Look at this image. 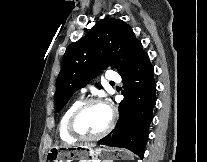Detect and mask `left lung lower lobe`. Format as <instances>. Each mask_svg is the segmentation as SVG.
<instances>
[{
  "mask_svg": "<svg viewBox=\"0 0 207 162\" xmlns=\"http://www.w3.org/2000/svg\"><path fill=\"white\" fill-rule=\"evenodd\" d=\"M120 75L126 82L123 94L128 97L118 107L119 120L115 129L98 143L126 148L143 157L156 103L154 68L148 54L143 52Z\"/></svg>",
  "mask_w": 207,
  "mask_h": 162,
  "instance_id": "obj_1",
  "label": "left lung lower lobe"
}]
</instances>
